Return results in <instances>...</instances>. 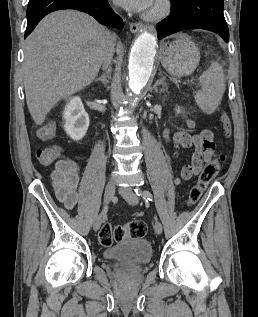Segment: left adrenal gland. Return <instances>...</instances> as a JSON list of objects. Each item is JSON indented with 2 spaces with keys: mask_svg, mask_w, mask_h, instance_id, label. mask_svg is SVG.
Here are the masks:
<instances>
[{
  "mask_svg": "<svg viewBox=\"0 0 258 317\" xmlns=\"http://www.w3.org/2000/svg\"><path fill=\"white\" fill-rule=\"evenodd\" d=\"M164 80H165V76H163V78H160V80H156L155 84H153V88L155 92H157L159 84H162L163 88L161 92H164L165 90L164 86H166V82H164Z\"/></svg>",
  "mask_w": 258,
  "mask_h": 317,
  "instance_id": "left-adrenal-gland-1",
  "label": "left adrenal gland"
}]
</instances>
